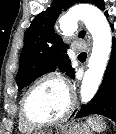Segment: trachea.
Instances as JSON below:
<instances>
[{
	"label": "trachea",
	"mask_w": 116,
	"mask_h": 134,
	"mask_svg": "<svg viewBox=\"0 0 116 134\" xmlns=\"http://www.w3.org/2000/svg\"><path fill=\"white\" fill-rule=\"evenodd\" d=\"M86 56H87V54L84 53V52H82V53L79 54V57H86Z\"/></svg>",
	"instance_id": "3493384b"
}]
</instances>
